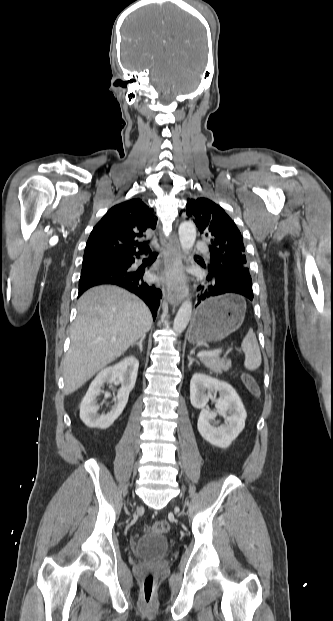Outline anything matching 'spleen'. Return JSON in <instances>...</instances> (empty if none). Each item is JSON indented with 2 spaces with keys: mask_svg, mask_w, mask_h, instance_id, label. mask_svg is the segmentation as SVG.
<instances>
[{
  "mask_svg": "<svg viewBox=\"0 0 333 621\" xmlns=\"http://www.w3.org/2000/svg\"><path fill=\"white\" fill-rule=\"evenodd\" d=\"M241 348L245 353L244 366L247 370H256L262 362L261 352L256 340V336L250 329L241 343Z\"/></svg>",
  "mask_w": 333,
  "mask_h": 621,
  "instance_id": "spleen-1",
  "label": "spleen"
}]
</instances>
